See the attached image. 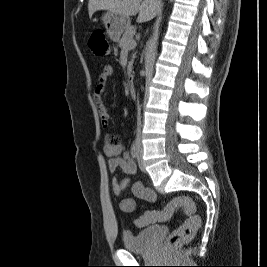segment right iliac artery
Wrapping results in <instances>:
<instances>
[{
	"label": "right iliac artery",
	"mask_w": 267,
	"mask_h": 267,
	"mask_svg": "<svg viewBox=\"0 0 267 267\" xmlns=\"http://www.w3.org/2000/svg\"><path fill=\"white\" fill-rule=\"evenodd\" d=\"M131 156L134 159H136L138 157V146L136 143H133V145L131 147Z\"/></svg>",
	"instance_id": "right-iliac-artery-1"
}]
</instances>
